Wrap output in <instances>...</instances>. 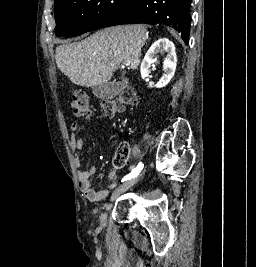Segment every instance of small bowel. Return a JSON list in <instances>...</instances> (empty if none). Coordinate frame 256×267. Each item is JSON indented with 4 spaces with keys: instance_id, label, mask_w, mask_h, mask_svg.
Instances as JSON below:
<instances>
[{
    "instance_id": "c3829d8e",
    "label": "small bowel",
    "mask_w": 256,
    "mask_h": 267,
    "mask_svg": "<svg viewBox=\"0 0 256 267\" xmlns=\"http://www.w3.org/2000/svg\"><path fill=\"white\" fill-rule=\"evenodd\" d=\"M79 126L77 123L71 125V148L75 154L74 163L77 168V176L79 186L87 200L92 203H97L103 200L108 195V190L96 191L92 187L91 177L95 174V167L91 166L88 170L81 167L79 154L83 149V139L79 135ZM116 185V171H111L105 181L107 189H111Z\"/></svg>"
}]
</instances>
